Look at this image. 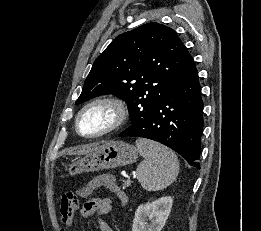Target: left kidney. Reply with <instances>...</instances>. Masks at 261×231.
Masks as SVG:
<instances>
[{
  "instance_id": "obj_1",
  "label": "left kidney",
  "mask_w": 261,
  "mask_h": 231,
  "mask_svg": "<svg viewBox=\"0 0 261 231\" xmlns=\"http://www.w3.org/2000/svg\"><path fill=\"white\" fill-rule=\"evenodd\" d=\"M172 203L173 199L170 196H165L138 206L132 231H161L170 214Z\"/></svg>"
}]
</instances>
